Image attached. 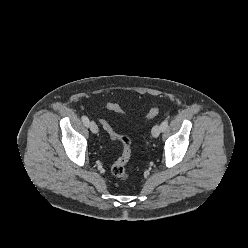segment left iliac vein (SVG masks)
<instances>
[{
  "label": "left iliac vein",
  "instance_id": "4c4485c4",
  "mask_svg": "<svg viewBox=\"0 0 248 248\" xmlns=\"http://www.w3.org/2000/svg\"><path fill=\"white\" fill-rule=\"evenodd\" d=\"M151 133H152L153 137H155V138L158 137L161 133L160 125L157 124V125L153 126Z\"/></svg>",
  "mask_w": 248,
  "mask_h": 248
}]
</instances>
